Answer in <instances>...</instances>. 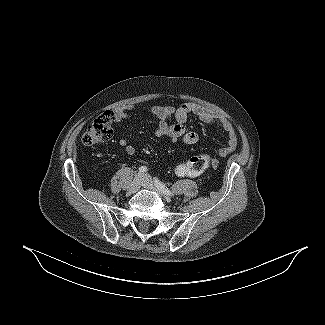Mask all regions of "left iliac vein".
<instances>
[{
	"instance_id": "left-iliac-vein-1",
	"label": "left iliac vein",
	"mask_w": 325,
	"mask_h": 325,
	"mask_svg": "<svg viewBox=\"0 0 325 325\" xmlns=\"http://www.w3.org/2000/svg\"><path fill=\"white\" fill-rule=\"evenodd\" d=\"M141 177H142L141 184L143 187L156 191L160 195H163V193L153 184L151 177L148 174H143Z\"/></svg>"
}]
</instances>
